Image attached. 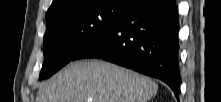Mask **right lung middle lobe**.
I'll return each instance as SVG.
<instances>
[{
	"label": "right lung middle lobe",
	"instance_id": "1",
	"mask_svg": "<svg viewBox=\"0 0 221 102\" xmlns=\"http://www.w3.org/2000/svg\"><path fill=\"white\" fill-rule=\"evenodd\" d=\"M133 5L130 0H84L46 19L44 63L39 79L49 78L73 61Z\"/></svg>",
	"mask_w": 221,
	"mask_h": 102
}]
</instances>
